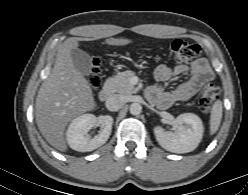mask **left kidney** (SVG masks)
<instances>
[{"label": "left kidney", "instance_id": "5707ae66", "mask_svg": "<svg viewBox=\"0 0 248 195\" xmlns=\"http://www.w3.org/2000/svg\"><path fill=\"white\" fill-rule=\"evenodd\" d=\"M201 119L193 113H184L175 119L174 132L165 131L162 127L154 128L159 145L173 153H187L193 151L203 136Z\"/></svg>", "mask_w": 248, "mask_h": 195}]
</instances>
